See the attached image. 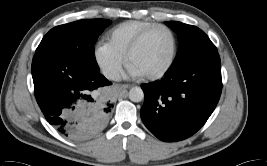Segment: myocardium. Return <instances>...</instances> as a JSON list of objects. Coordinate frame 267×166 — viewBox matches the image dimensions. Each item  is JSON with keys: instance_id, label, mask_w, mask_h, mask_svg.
I'll return each mask as SVG.
<instances>
[{"instance_id": "obj_1", "label": "myocardium", "mask_w": 267, "mask_h": 166, "mask_svg": "<svg viewBox=\"0 0 267 166\" xmlns=\"http://www.w3.org/2000/svg\"><path fill=\"white\" fill-rule=\"evenodd\" d=\"M165 31L169 34L170 38H171V52H170V56L168 58V61L166 62V64L160 68L159 70L153 72V73H149L147 74L146 76L148 78H156V77H159L161 75H163L164 73H166L169 68L171 67L173 61H174V57H175V54H176V36L175 34L173 33V31L165 26V25H158V26H155V27H152L148 30H146L145 32H143L133 43L132 45L130 46L129 50H128V53H127V59L128 61H132V58H133V55L134 53L139 49V47L143 44V42L145 41V39L147 37H149L151 34H153L154 32H157V31Z\"/></svg>"}]
</instances>
